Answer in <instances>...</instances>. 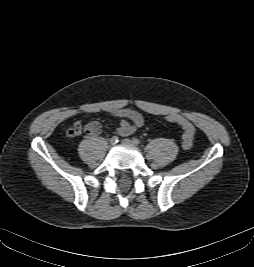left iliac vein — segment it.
<instances>
[{
  "label": "left iliac vein",
  "mask_w": 254,
  "mask_h": 267,
  "mask_svg": "<svg viewBox=\"0 0 254 267\" xmlns=\"http://www.w3.org/2000/svg\"><path fill=\"white\" fill-rule=\"evenodd\" d=\"M122 144H124V145H130V146H135V144L133 143V141L130 140V139H123L122 140Z\"/></svg>",
  "instance_id": "1"
}]
</instances>
